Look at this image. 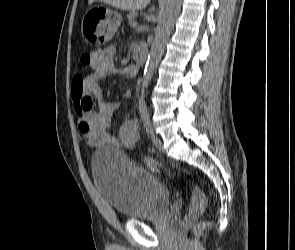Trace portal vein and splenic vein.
<instances>
[{
  "mask_svg": "<svg viewBox=\"0 0 295 250\" xmlns=\"http://www.w3.org/2000/svg\"><path fill=\"white\" fill-rule=\"evenodd\" d=\"M131 26H132V27H136V26H137V22H136V21H133V22L131 23Z\"/></svg>",
  "mask_w": 295,
  "mask_h": 250,
  "instance_id": "portal-vein-and-splenic-vein-1",
  "label": "portal vein and splenic vein"
}]
</instances>
